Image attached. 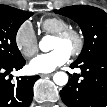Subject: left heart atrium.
<instances>
[{"instance_id":"39dd6f15","label":"left heart atrium","mask_w":107,"mask_h":107,"mask_svg":"<svg viewBox=\"0 0 107 107\" xmlns=\"http://www.w3.org/2000/svg\"><path fill=\"white\" fill-rule=\"evenodd\" d=\"M70 58V53L58 48L49 53L40 54L30 62V68L36 73H49L65 64Z\"/></svg>"}]
</instances>
